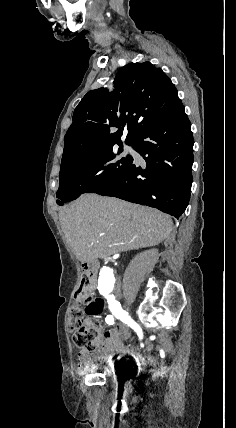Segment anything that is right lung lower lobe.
Segmentation results:
<instances>
[{"mask_svg": "<svg viewBox=\"0 0 236 428\" xmlns=\"http://www.w3.org/2000/svg\"><path fill=\"white\" fill-rule=\"evenodd\" d=\"M193 144L191 124L180 105L133 140L146 167L131 163L95 193L154 207L178 219L190 199Z\"/></svg>", "mask_w": 236, "mask_h": 428, "instance_id": "obj_1", "label": "right lung lower lobe"}]
</instances>
